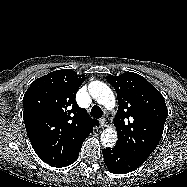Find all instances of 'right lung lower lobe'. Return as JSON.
Segmentation results:
<instances>
[{"label": "right lung lower lobe", "instance_id": "1", "mask_svg": "<svg viewBox=\"0 0 187 187\" xmlns=\"http://www.w3.org/2000/svg\"><path fill=\"white\" fill-rule=\"evenodd\" d=\"M82 147V146H81ZM81 149V148H80ZM79 152H80V150L75 154V156H74V158L71 160V162L68 164V165H66V166H69L70 164H72V163H74V161H76V159H77V157H78V155H79ZM65 167V166H64Z\"/></svg>", "mask_w": 187, "mask_h": 187}]
</instances>
